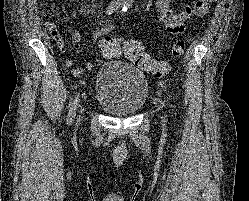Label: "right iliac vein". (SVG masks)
<instances>
[{
	"mask_svg": "<svg viewBox=\"0 0 249 201\" xmlns=\"http://www.w3.org/2000/svg\"><path fill=\"white\" fill-rule=\"evenodd\" d=\"M79 121H80V116H79V118H78L77 122H79Z\"/></svg>",
	"mask_w": 249,
	"mask_h": 201,
	"instance_id": "1",
	"label": "right iliac vein"
}]
</instances>
